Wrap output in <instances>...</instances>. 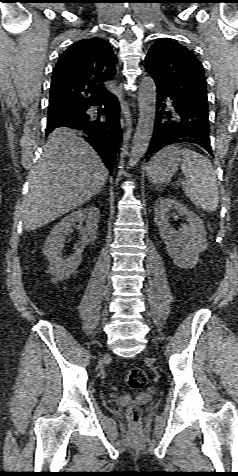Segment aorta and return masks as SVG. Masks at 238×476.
Returning a JSON list of instances; mask_svg holds the SVG:
<instances>
[{"label": "aorta", "instance_id": "aorta-1", "mask_svg": "<svg viewBox=\"0 0 238 476\" xmlns=\"http://www.w3.org/2000/svg\"><path fill=\"white\" fill-rule=\"evenodd\" d=\"M156 85L150 76L144 77L139 86V118L133 137L129 165L134 166L146 153L154 130L156 111Z\"/></svg>", "mask_w": 238, "mask_h": 476}]
</instances>
